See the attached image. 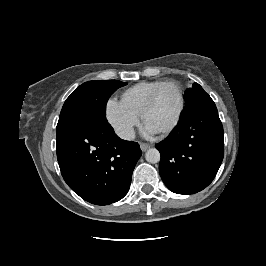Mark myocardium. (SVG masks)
Wrapping results in <instances>:
<instances>
[{
	"mask_svg": "<svg viewBox=\"0 0 266 266\" xmlns=\"http://www.w3.org/2000/svg\"><path fill=\"white\" fill-rule=\"evenodd\" d=\"M169 85H173L176 87L178 94H179V106L176 112L175 117L173 118V120L170 122L169 125H167L165 128H163L162 130L158 131L159 133L165 134L168 133L170 131H172L176 125L178 124L184 107H185V95H184V90L182 88V86L174 80H169V81H164L163 83H161L150 95V97L148 98L147 102L145 103L142 112H141V118L142 120L146 123V115L148 113V111L151 109V107L153 106L155 100L157 99L159 93L161 92V90Z\"/></svg>",
	"mask_w": 266,
	"mask_h": 266,
	"instance_id": "myocardium-1",
	"label": "myocardium"
}]
</instances>
